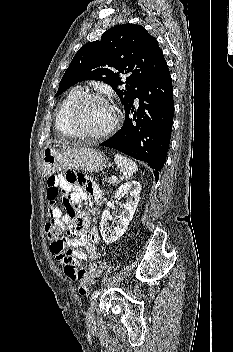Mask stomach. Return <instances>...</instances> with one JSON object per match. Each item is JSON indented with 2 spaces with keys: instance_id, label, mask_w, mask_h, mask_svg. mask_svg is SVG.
Wrapping results in <instances>:
<instances>
[{
  "instance_id": "0dacf381",
  "label": "stomach",
  "mask_w": 233,
  "mask_h": 352,
  "mask_svg": "<svg viewBox=\"0 0 233 352\" xmlns=\"http://www.w3.org/2000/svg\"><path fill=\"white\" fill-rule=\"evenodd\" d=\"M104 153L87 147H74L58 150L46 147L42 153V172L54 174L60 169H78L89 172L101 171L107 166Z\"/></svg>"
}]
</instances>
